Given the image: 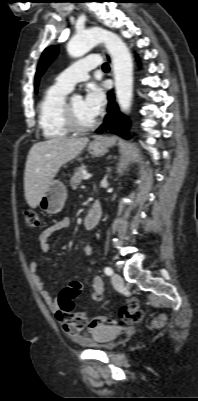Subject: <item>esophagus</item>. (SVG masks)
<instances>
[{
  "instance_id": "esophagus-1",
  "label": "esophagus",
  "mask_w": 198,
  "mask_h": 401,
  "mask_svg": "<svg viewBox=\"0 0 198 401\" xmlns=\"http://www.w3.org/2000/svg\"><path fill=\"white\" fill-rule=\"evenodd\" d=\"M102 52H103L104 57H105L108 61H111V57L109 56L108 52H107L105 49H103Z\"/></svg>"
}]
</instances>
